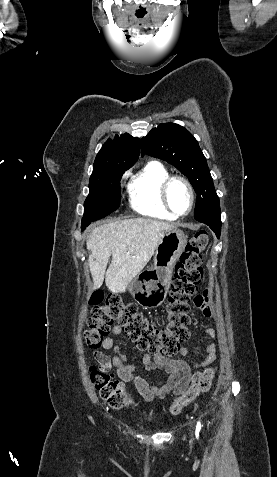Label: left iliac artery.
I'll return each mask as SVG.
<instances>
[{
	"label": "left iliac artery",
	"mask_w": 277,
	"mask_h": 477,
	"mask_svg": "<svg viewBox=\"0 0 277 477\" xmlns=\"http://www.w3.org/2000/svg\"><path fill=\"white\" fill-rule=\"evenodd\" d=\"M200 430H201V423L200 421H198L196 426V432L199 433Z\"/></svg>",
	"instance_id": "obj_1"
}]
</instances>
